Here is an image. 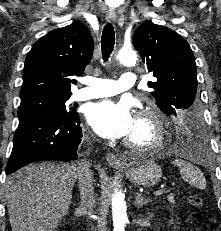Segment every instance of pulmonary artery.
Returning a JSON list of instances; mask_svg holds the SVG:
<instances>
[{
	"instance_id": "1",
	"label": "pulmonary artery",
	"mask_w": 221,
	"mask_h": 231,
	"mask_svg": "<svg viewBox=\"0 0 221 231\" xmlns=\"http://www.w3.org/2000/svg\"><path fill=\"white\" fill-rule=\"evenodd\" d=\"M83 83L87 87L74 93L73 98L77 101L117 95L135 86L136 75L132 72H125L121 75L119 81L87 77L84 78Z\"/></svg>"
}]
</instances>
